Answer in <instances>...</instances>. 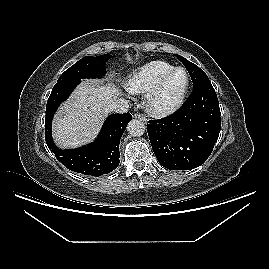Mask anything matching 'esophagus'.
Returning a JSON list of instances; mask_svg holds the SVG:
<instances>
[{
	"label": "esophagus",
	"mask_w": 269,
	"mask_h": 269,
	"mask_svg": "<svg viewBox=\"0 0 269 269\" xmlns=\"http://www.w3.org/2000/svg\"><path fill=\"white\" fill-rule=\"evenodd\" d=\"M133 117L135 119H138V120L142 121V122H146L147 121L146 117L144 115H142L141 113H135L133 115Z\"/></svg>",
	"instance_id": "34e87169"
}]
</instances>
